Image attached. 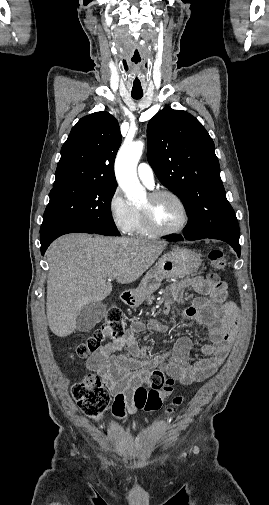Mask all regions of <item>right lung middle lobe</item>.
<instances>
[{"label":"right lung middle lobe","mask_w":269,"mask_h":505,"mask_svg":"<svg viewBox=\"0 0 269 505\" xmlns=\"http://www.w3.org/2000/svg\"><path fill=\"white\" fill-rule=\"evenodd\" d=\"M116 185L73 183L53 187L40 234L51 227L69 225L106 236H119L110 204Z\"/></svg>","instance_id":"1"}]
</instances>
